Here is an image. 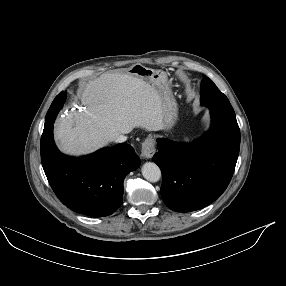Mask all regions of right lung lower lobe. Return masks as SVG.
Wrapping results in <instances>:
<instances>
[{"instance_id": "98d812e1", "label": "right lung lower lobe", "mask_w": 286, "mask_h": 286, "mask_svg": "<svg viewBox=\"0 0 286 286\" xmlns=\"http://www.w3.org/2000/svg\"><path fill=\"white\" fill-rule=\"evenodd\" d=\"M41 161L59 200L71 210L91 217L108 216L120 207L124 178L140 165L133 147L126 143L80 158L66 156L54 143L53 123L44 126Z\"/></svg>"}]
</instances>
